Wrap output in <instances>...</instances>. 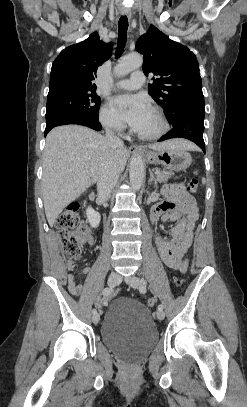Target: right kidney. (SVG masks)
Wrapping results in <instances>:
<instances>
[{"mask_svg": "<svg viewBox=\"0 0 247 407\" xmlns=\"http://www.w3.org/2000/svg\"><path fill=\"white\" fill-rule=\"evenodd\" d=\"M86 215L89 220V223L92 227L96 228L100 224L101 216L98 212L93 210L91 207H88L86 210Z\"/></svg>", "mask_w": 247, "mask_h": 407, "instance_id": "right-kidney-1", "label": "right kidney"}]
</instances>
